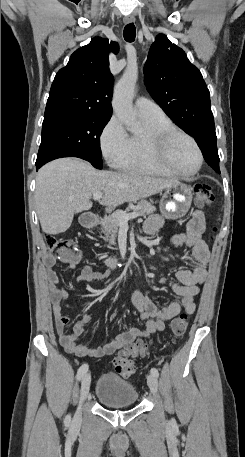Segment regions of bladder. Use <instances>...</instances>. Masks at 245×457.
Segmentation results:
<instances>
[{
	"label": "bladder",
	"instance_id": "obj_1",
	"mask_svg": "<svg viewBox=\"0 0 245 457\" xmlns=\"http://www.w3.org/2000/svg\"><path fill=\"white\" fill-rule=\"evenodd\" d=\"M96 396L106 406H127L137 403L138 395L133 384L110 374L100 376Z\"/></svg>",
	"mask_w": 245,
	"mask_h": 457
}]
</instances>
